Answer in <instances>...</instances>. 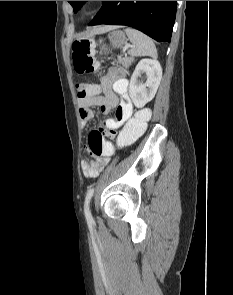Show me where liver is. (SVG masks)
Segmentation results:
<instances>
[{"label":"liver","instance_id":"liver-1","mask_svg":"<svg viewBox=\"0 0 233 295\" xmlns=\"http://www.w3.org/2000/svg\"><path fill=\"white\" fill-rule=\"evenodd\" d=\"M115 28H116V27H114V26H104V27L95 28V29L93 30V34L104 33V32H107V31L113 30V29H115Z\"/></svg>","mask_w":233,"mask_h":295}]
</instances>
